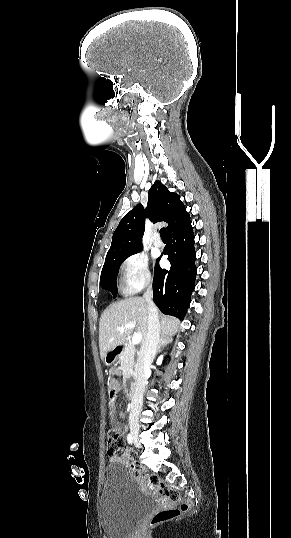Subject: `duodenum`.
<instances>
[{
	"label": "duodenum",
	"mask_w": 291,
	"mask_h": 538,
	"mask_svg": "<svg viewBox=\"0 0 291 538\" xmlns=\"http://www.w3.org/2000/svg\"><path fill=\"white\" fill-rule=\"evenodd\" d=\"M124 351L123 347H116L113 351L109 353L113 358L119 357ZM124 387L126 388L124 391V394L128 398H133L136 396V386L137 383L134 381V377H132V373L126 372L124 373Z\"/></svg>",
	"instance_id": "duodenum-1"
}]
</instances>
